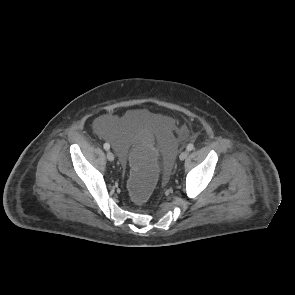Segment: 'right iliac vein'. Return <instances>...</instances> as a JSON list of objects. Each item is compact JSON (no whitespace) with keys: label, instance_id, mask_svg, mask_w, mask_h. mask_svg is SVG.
<instances>
[{"label":"right iliac vein","instance_id":"right-iliac-vein-1","mask_svg":"<svg viewBox=\"0 0 295 295\" xmlns=\"http://www.w3.org/2000/svg\"><path fill=\"white\" fill-rule=\"evenodd\" d=\"M107 159L109 161H113L114 160V155H113V153L111 151H108L107 152Z\"/></svg>","mask_w":295,"mask_h":295}]
</instances>
